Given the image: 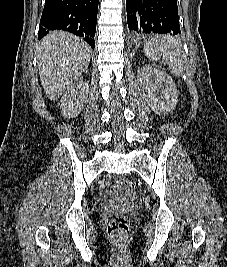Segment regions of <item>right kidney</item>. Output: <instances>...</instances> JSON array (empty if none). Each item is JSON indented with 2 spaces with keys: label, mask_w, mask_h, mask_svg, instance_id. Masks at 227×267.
<instances>
[{
  "label": "right kidney",
  "mask_w": 227,
  "mask_h": 267,
  "mask_svg": "<svg viewBox=\"0 0 227 267\" xmlns=\"http://www.w3.org/2000/svg\"><path fill=\"white\" fill-rule=\"evenodd\" d=\"M89 84L80 79L74 82L60 101L61 115L68 118L76 117L88 101Z\"/></svg>",
  "instance_id": "1"
}]
</instances>
